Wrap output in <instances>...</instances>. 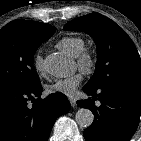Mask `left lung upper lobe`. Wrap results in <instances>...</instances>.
<instances>
[{
	"label": "left lung upper lobe",
	"mask_w": 141,
	"mask_h": 141,
	"mask_svg": "<svg viewBox=\"0 0 141 141\" xmlns=\"http://www.w3.org/2000/svg\"><path fill=\"white\" fill-rule=\"evenodd\" d=\"M67 31H83L91 35L97 45L95 73L86 88L98 90L117 84L141 85V59L125 31L109 18L92 13L68 22Z\"/></svg>",
	"instance_id": "left-lung-upper-lobe-1"
}]
</instances>
